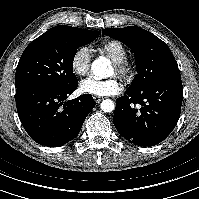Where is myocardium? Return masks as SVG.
I'll return each instance as SVG.
<instances>
[{"label": "myocardium", "mask_w": 199, "mask_h": 199, "mask_svg": "<svg viewBox=\"0 0 199 199\" xmlns=\"http://www.w3.org/2000/svg\"><path fill=\"white\" fill-rule=\"evenodd\" d=\"M115 72L124 79L128 80L134 76L135 67L131 62L125 59L124 61L115 64Z\"/></svg>", "instance_id": "1"}]
</instances>
